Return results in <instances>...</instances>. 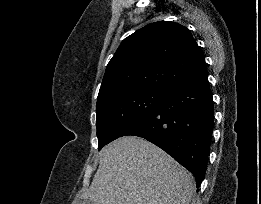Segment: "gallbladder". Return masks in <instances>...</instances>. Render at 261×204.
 <instances>
[{
	"label": "gallbladder",
	"instance_id": "1",
	"mask_svg": "<svg viewBox=\"0 0 261 204\" xmlns=\"http://www.w3.org/2000/svg\"><path fill=\"white\" fill-rule=\"evenodd\" d=\"M77 204H93V202L89 199H81L77 202Z\"/></svg>",
	"mask_w": 261,
	"mask_h": 204
}]
</instances>
